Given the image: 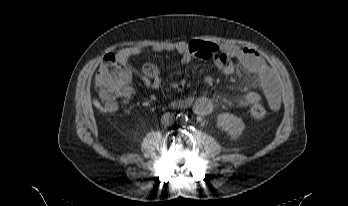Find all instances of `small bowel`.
<instances>
[{
	"label": "small bowel",
	"mask_w": 348,
	"mask_h": 206,
	"mask_svg": "<svg viewBox=\"0 0 348 206\" xmlns=\"http://www.w3.org/2000/svg\"><path fill=\"white\" fill-rule=\"evenodd\" d=\"M150 49L154 52H173L181 56L183 64L189 63L193 59L211 61L219 70L230 73L233 70V63L238 61L248 72L253 73L262 86L268 105L271 111H276L280 107V87L278 80L259 56L251 48L245 46L222 47L218 44L203 40H192L190 42H165ZM131 51L125 50L118 54V58L126 63ZM135 76L142 82L143 86L150 91L158 90L161 85V77L158 74L148 75L145 72L134 69ZM261 95L255 91H248L239 94L237 103L240 105H255L261 102Z\"/></svg>",
	"instance_id": "small-bowel-1"
}]
</instances>
